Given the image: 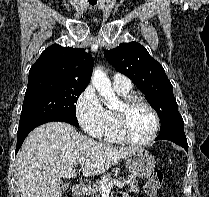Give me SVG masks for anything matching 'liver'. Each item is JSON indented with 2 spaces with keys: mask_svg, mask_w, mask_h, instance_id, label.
Wrapping results in <instances>:
<instances>
[{
  "mask_svg": "<svg viewBox=\"0 0 209 197\" xmlns=\"http://www.w3.org/2000/svg\"><path fill=\"white\" fill-rule=\"evenodd\" d=\"M135 150L97 142L65 122L40 125L27 136L17 154L21 197H61V178L76 176L73 168L79 159H85L83 175L95 176Z\"/></svg>",
  "mask_w": 209,
  "mask_h": 197,
  "instance_id": "liver-1",
  "label": "liver"
}]
</instances>
